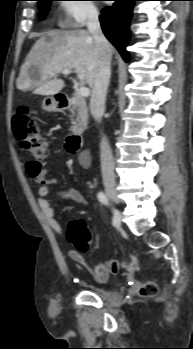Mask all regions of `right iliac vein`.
<instances>
[{"label":"right iliac vein","mask_w":193,"mask_h":349,"mask_svg":"<svg viewBox=\"0 0 193 349\" xmlns=\"http://www.w3.org/2000/svg\"><path fill=\"white\" fill-rule=\"evenodd\" d=\"M106 193L115 203H120V198H119L115 188L108 187L106 189ZM115 222L116 223L120 222V214L118 212L115 213Z\"/></svg>","instance_id":"obj_1"}]
</instances>
